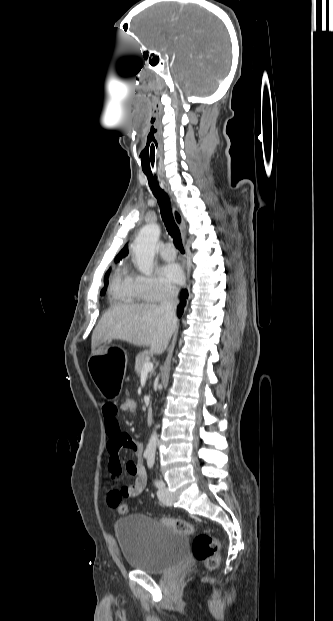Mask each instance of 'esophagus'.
<instances>
[{"label": "esophagus", "mask_w": 333, "mask_h": 621, "mask_svg": "<svg viewBox=\"0 0 333 621\" xmlns=\"http://www.w3.org/2000/svg\"><path fill=\"white\" fill-rule=\"evenodd\" d=\"M173 214H174V219H175L176 224H177V225H178L181 229H183L184 223H183V220H182L181 214L179 213V211L177 210V208H176V207H173Z\"/></svg>", "instance_id": "esophagus-1"}]
</instances>
